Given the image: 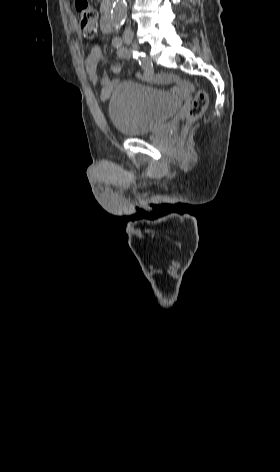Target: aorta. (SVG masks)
<instances>
[{"label": "aorta", "instance_id": "762f6f07", "mask_svg": "<svg viewBox=\"0 0 280 472\" xmlns=\"http://www.w3.org/2000/svg\"><path fill=\"white\" fill-rule=\"evenodd\" d=\"M127 3L125 0H116L112 6L111 19L115 27L121 25V22L126 18Z\"/></svg>", "mask_w": 280, "mask_h": 472}]
</instances>
